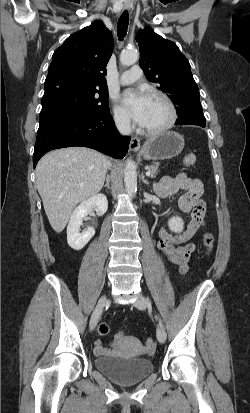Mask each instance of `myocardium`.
<instances>
[{"label": "myocardium", "instance_id": "f54148a6", "mask_svg": "<svg viewBox=\"0 0 250 413\" xmlns=\"http://www.w3.org/2000/svg\"><path fill=\"white\" fill-rule=\"evenodd\" d=\"M151 98L162 102L168 108V111H169L168 121L163 126H161L159 128H155V129H149V128L142 127V131L145 134L151 135V136H156V135H161V134L167 132L168 130H170L174 126V124L177 120V109H176L174 103L172 102V100L162 92H153V93H151Z\"/></svg>", "mask_w": 250, "mask_h": 413}]
</instances>
